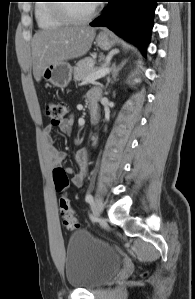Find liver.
<instances>
[{
    "instance_id": "6515ba94",
    "label": "liver",
    "mask_w": 195,
    "mask_h": 299,
    "mask_svg": "<svg viewBox=\"0 0 195 299\" xmlns=\"http://www.w3.org/2000/svg\"><path fill=\"white\" fill-rule=\"evenodd\" d=\"M95 34V29L88 26H65L36 32L31 42L35 80H41L42 72L48 65L85 55Z\"/></svg>"
}]
</instances>
